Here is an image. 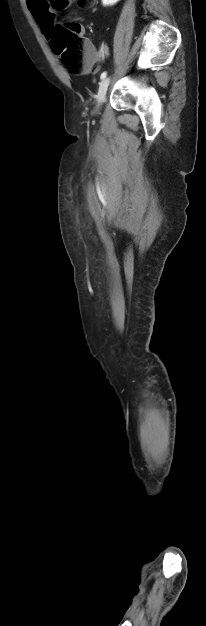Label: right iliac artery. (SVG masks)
Instances as JSON below:
<instances>
[{
    "label": "right iliac artery",
    "mask_w": 206,
    "mask_h": 626,
    "mask_svg": "<svg viewBox=\"0 0 206 626\" xmlns=\"http://www.w3.org/2000/svg\"><path fill=\"white\" fill-rule=\"evenodd\" d=\"M106 75H107V72L104 71L100 76L101 80H103L106 77Z\"/></svg>",
    "instance_id": "1"
}]
</instances>
